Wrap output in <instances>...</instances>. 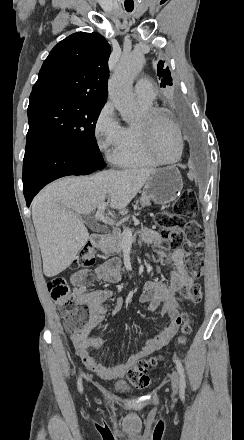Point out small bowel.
Here are the masks:
<instances>
[{
  "instance_id": "obj_1",
  "label": "small bowel",
  "mask_w": 244,
  "mask_h": 440,
  "mask_svg": "<svg viewBox=\"0 0 244 440\" xmlns=\"http://www.w3.org/2000/svg\"><path fill=\"white\" fill-rule=\"evenodd\" d=\"M143 240L146 244H158L160 235L153 229H144ZM167 260L172 264L169 282L162 280H148L143 284L139 297L141 303H148L147 311L155 312L160 307L162 315L171 319L163 330L155 337L145 342L139 350L123 363L111 362L112 354L108 356V362L100 363L95 360L92 351L100 353L103 341L99 337H91L89 328L103 322L106 308L104 303L113 296L112 291L106 289L87 290L83 280L94 276L106 283H116L120 280L121 262L119 260L108 264H102L94 269H80L74 272L70 278L73 292L78 300H87L90 313L88 327L77 334H71V341L77 355L84 365L104 380H115L125 377L129 369L137 362L141 355L144 359L149 355L161 350L177 334L179 329V309L176 301L177 293L185 286L193 285L195 277L185 266V252L182 248L169 251ZM118 302L115 309H118Z\"/></svg>"
}]
</instances>
